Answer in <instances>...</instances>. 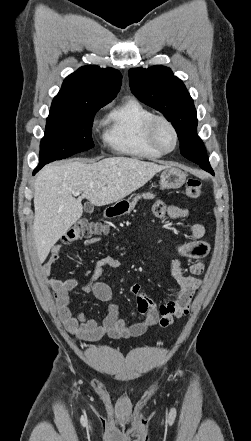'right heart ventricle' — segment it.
<instances>
[{"instance_id": "e07e8e85", "label": "right heart ventricle", "mask_w": 251, "mask_h": 441, "mask_svg": "<svg viewBox=\"0 0 251 441\" xmlns=\"http://www.w3.org/2000/svg\"><path fill=\"white\" fill-rule=\"evenodd\" d=\"M155 114L134 97L114 106L105 120L104 142L115 152L144 159L162 154L148 143L146 127Z\"/></svg>"}]
</instances>
